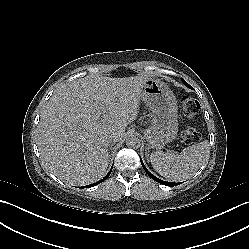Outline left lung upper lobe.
Instances as JSON below:
<instances>
[{
  "label": "left lung upper lobe",
  "mask_w": 249,
  "mask_h": 249,
  "mask_svg": "<svg viewBox=\"0 0 249 249\" xmlns=\"http://www.w3.org/2000/svg\"><path fill=\"white\" fill-rule=\"evenodd\" d=\"M184 84L189 87V85L186 82H184Z\"/></svg>",
  "instance_id": "obj_1"
}]
</instances>
